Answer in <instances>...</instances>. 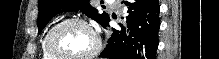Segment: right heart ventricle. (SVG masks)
<instances>
[{
	"instance_id": "right-heart-ventricle-1",
	"label": "right heart ventricle",
	"mask_w": 219,
	"mask_h": 59,
	"mask_svg": "<svg viewBox=\"0 0 219 59\" xmlns=\"http://www.w3.org/2000/svg\"><path fill=\"white\" fill-rule=\"evenodd\" d=\"M50 28L44 33L43 37L41 38L40 41V53H41V59H55L54 57H52L46 48V37L47 34L49 32Z\"/></svg>"
}]
</instances>
